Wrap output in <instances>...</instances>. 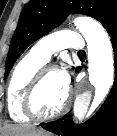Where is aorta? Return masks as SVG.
<instances>
[{
	"label": "aorta",
	"instance_id": "1",
	"mask_svg": "<svg viewBox=\"0 0 117 136\" xmlns=\"http://www.w3.org/2000/svg\"><path fill=\"white\" fill-rule=\"evenodd\" d=\"M74 24L88 45L89 81L95 88L92 105L97 106L113 84L115 69L111 41L103 26L92 18L78 17ZM91 100L90 90H84L76 97L73 113L77 119L87 114Z\"/></svg>",
	"mask_w": 117,
	"mask_h": 136
}]
</instances>
